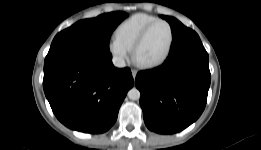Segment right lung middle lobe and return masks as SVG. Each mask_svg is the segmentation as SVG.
Returning <instances> with one entry per match:
<instances>
[{
	"label": "right lung middle lobe",
	"mask_w": 261,
	"mask_h": 150,
	"mask_svg": "<svg viewBox=\"0 0 261 150\" xmlns=\"http://www.w3.org/2000/svg\"><path fill=\"white\" fill-rule=\"evenodd\" d=\"M125 12H111L76 22L58 33L49 51L75 47L109 52V38L116 26L127 17Z\"/></svg>",
	"instance_id": "obj_1"
}]
</instances>
